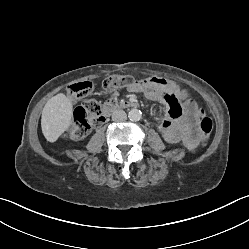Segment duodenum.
<instances>
[{
  "label": "duodenum",
  "instance_id": "1",
  "mask_svg": "<svg viewBox=\"0 0 249 249\" xmlns=\"http://www.w3.org/2000/svg\"><path fill=\"white\" fill-rule=\"evenodd\" d=\"M137 102L134 101H128V100H115V101H110L107 102L104 108V117L109 116L110 114L121 110V109H129V108H134L137 107Z\"/></svg>",
  "mask_w": 249,
  "mask_h": 249
}]
</instances>
